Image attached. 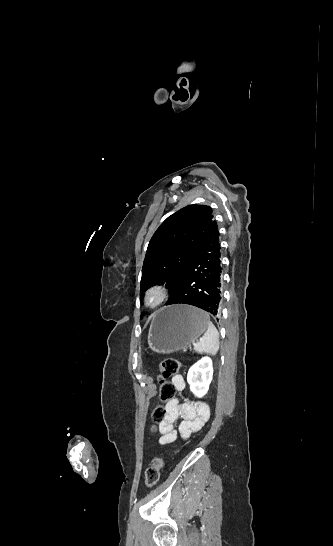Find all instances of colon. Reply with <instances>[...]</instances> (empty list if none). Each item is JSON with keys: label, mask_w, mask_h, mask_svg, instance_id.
I'll list each match as a JSON object with an SVG mask.
<instances>
[{"label": "colon", "mask_w": 333, "mask_h": 546, "mask_svg": "<svg viewBox=\"0 0 333 546\" xmlns=\"http://www.w3.org/2000/svg\"><path fill=\"white\" fill-rule=\"evenodd\" d=\"M181 368V362L177 359H163L158 367V380L160 383V399L162 401L171 400L175 396L176 389L174 385L167 379L174 377ZM165 416V409L162 405H158L153 409L152 419L155 423L162 421ZM164 466L162 457H156L152 460L151 465L145 473V485L152 487L160 479L161 470Z\"/></svg>", "instance_id": "1"}]
</instances>
